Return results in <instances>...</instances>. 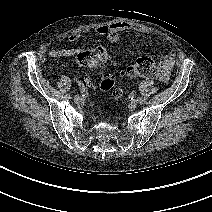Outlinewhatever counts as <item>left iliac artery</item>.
Listing matches in <instances>:
<instances>
[{
    "label": "left iliac artery",
    "instance_id": "1",
    "mask_svg": "<svg viewBox=\"0 0 212 212\" xmlns=\"http://www.w3.org/2000/svg\"><path fill=\"white\" fill-rule=\"evenodd\" d=\"M137 102H138L139 104H143V103H144V99L141 98V97H138V98H137Z\"/></svg>",
    "mask_w": 212,
    "mask_h": 212
}]
</instances>
